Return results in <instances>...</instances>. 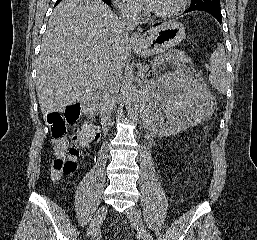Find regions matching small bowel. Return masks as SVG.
<instances>
[{
  "instance_id": "small-bowel-1",
  "label": "small bowel",
  "mask_w": 257,
  "mask_h": 240,
  "mask_svg": "<svg viewBox=\"0 0 257 240\" xmlns=\"http://www.w3.org/2000/svg\"><path fill=\"white\" fill-rule=\"evenodd\" d=\"M51 144L55 155H64L66 153V149L68 148V141L66 138L62 137L60 139H54Z\"/></svg>"
}]
</instances>
